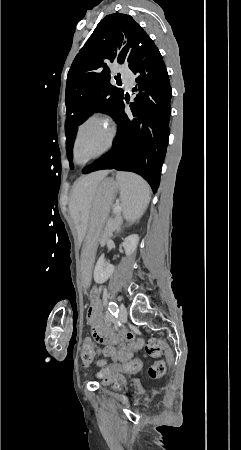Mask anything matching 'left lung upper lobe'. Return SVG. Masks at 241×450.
Segmentation results:
<instances>
[{
  "label": "left lung upper lobe",
  "instance_id": "left-lung-upper-lobe-1",
  "mask_svg": "<svg viewBox=\"0 0 241 450\" xmlns=\"http://www.w3.org/2000/svg\"><path fill=\"white\" fill-rule=\"evenodd\" d=\"M153 46L154 42L130 15L113 13L99 22L68 72L65 134L69 161L77 125L94 112L114 118L124 99V91L110 83L108 64L128 63L130 67Z\"/></svg>",
  "mask_w": 241,
  "mask_h": 450
}]
</instances>
